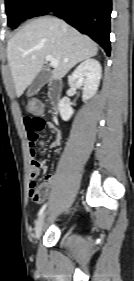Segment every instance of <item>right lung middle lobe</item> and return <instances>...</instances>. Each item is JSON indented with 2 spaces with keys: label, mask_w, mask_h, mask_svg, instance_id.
<instances>
[{
  "label": "right lung middle lobe",
  "mask_w": 134,
  "mask_h": 281,
  "mask_svg": "<svg viewBox=\"0 0 134 281\" xmlns=\"http://www.w3.org/2000/svg\"><path fill=\"white\" fill-rule=\"evenodd\" d=\"M38 0H5L8 24L16 28L21 22L30 18Z\"/></svg>",
  "instance_id": "right-lung-middle-lobe-1"
}]
</instances>
